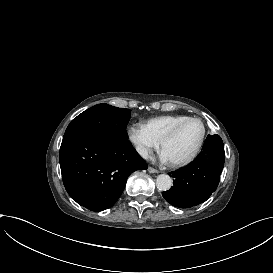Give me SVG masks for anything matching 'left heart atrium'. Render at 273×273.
I'll list each match as a JSON object with an SVG mask.
<instances>
[{
    "mask_svg": "<svg viewBox=\"0 0 273 273\" xmlns=\"http://www.w3.org/2000/svg\"><path fill=\"white\" fill-rule=\"evenodd\" d=\"M161 159L164 162H169V160H168V158H167V156H166V154L164 152H162V154H161Z\"/></svg>",
    "mask_w": 273,
    "mask_h": 273,
    "instance_id": "left-heart-atrium-1",
    "label": "left heart atrium"
}]
</instances>
